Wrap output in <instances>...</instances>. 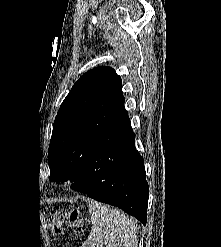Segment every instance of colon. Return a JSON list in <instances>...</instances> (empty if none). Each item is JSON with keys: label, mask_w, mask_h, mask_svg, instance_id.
<instances>
[{"label": "colon", "mask_w": 221, "mask_h": 247, "mask_svg": "<svg viewBox=\"0 0 221 247\" xmlns=\"http://www.w3.org/2000/svg\"><path fill=\"white\" fill-rule=\"evenodd\" d=\"M84 224V220L76 211L69 214L63 212L59 213L55 219L50 220V226L55 234H60L69 227L82 229Z\"/></svg>", "instance_id": "obj_1"}]
</instances>
